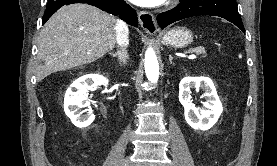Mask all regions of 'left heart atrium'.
Here are the masks:
<instances>
[{
    "mask_svg": "<svg viewBox=\"0 0 277 166\" xmlns=\"http://www.w3.org/2000/svg\"><path fill=\"white\" fill-rule=\"evenodd\" d=\"M132 3L143 7H155L163 4L166 0H130Z\"/></svg>",
    "mask_w": 277,
    "mask_h": 166,
    "instance_id": "1",
    "label": "left heart atrium"
}]
</instances>
